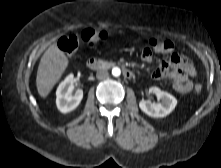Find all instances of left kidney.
Listing matches in <instances>:
<instances>
[{
  "mask_svg": "<svg viewBox=\"0 0 221 168\" xmlns=\"http://www.w3.org/2000/svg\"><path fill=\"white\" fill-rule=\"evenodd\" d=\"M150 93L161 98L160 103H152L150 100H141L139 102L140 109L150 117L162 118L169 115L177 105V99L171 94L160 90L158 87H151Z\"/></svg>",
  "mask_w": 221,
  "mask_h": 168,
  "instance_id": "5707ae66",
  "label": "left kidney"
}]
</instances>
